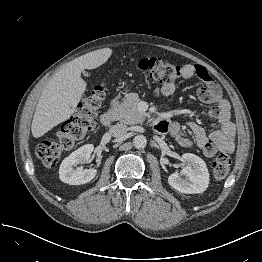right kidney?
Segmentation results:
<instances>
[{
  "instance_id": "1",
  "label": "right kidney",
  "mask_w": 262,
  "mask_h": 262,
  "mask_svg": "<svg viewBox=\"0 0 262 262\" xmlns=\"http://www.w3.org/2000/svg\"><path fill=\"white\" fill-rule=\"evenodd\" d=\"M94 149L92 144H87L72 152L65 158L59 168L61 181L70 185H81L90 182L97 174L96 169L75 168L79 163H86Z\"/></svg>"
}]
</instances>
